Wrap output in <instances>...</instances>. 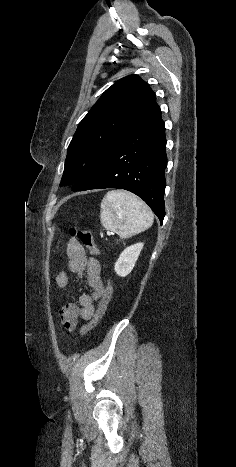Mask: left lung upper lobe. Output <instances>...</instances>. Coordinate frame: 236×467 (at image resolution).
<instances>
[{"mask_svg": "<svg viewBox=\"0 0 236 467\" xmlns=\"http://www.w3.org/2000/svg\"><path fill=\"white\" fill-rule=\"evenodd\" d=\"M157 106L155 93L137 75L109 87L79 123L70 142L61 185L80 189L96 173L117 140Z\"/></svg>", "mask_w": 236, "mask_h": 467, "instance_id": "left-lung-upper-lobe-1", "label": "left lung upper lobe"}]
</instances>
